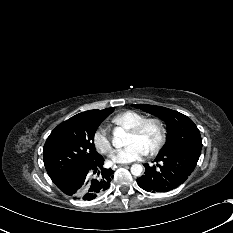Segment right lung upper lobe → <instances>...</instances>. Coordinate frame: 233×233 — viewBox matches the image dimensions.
Instances as JSON below:
<instances>
[{
	"mask_svg": "<svg viewBox=\"0 0 233 233\" xmlns=\"http://www.w3.org/2000/svg\"><path fill=\"white\" fill-rule=\"evenodd\" d=\"M92 111H94V110L85 111V112L77 114L76 116H83V115H86V114H88V113H90Z\"/></svg>",
	"mask_w": 233,
	"mask_h": 233,
	"instance_id": "right-lung-upper-lobe-1",
	"label": "right lung upper lobe"
}]
</instances>
